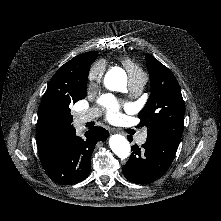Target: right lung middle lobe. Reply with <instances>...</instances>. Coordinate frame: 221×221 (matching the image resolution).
<instances>
[{
	"mask_svg": "<svg viewBox=\"0 0 221 221\" xmlns=\"http://www.w3.org/2000/svg\"><path fill=\"white\" fill-rule=\"evenodd\" d=\"M86 87H87V83L83 84L82 86L78 87L75 89L71 99H68L64 105H63V111H64V119L69 122L72 123L73 120V116L70 114V105L77 102L80 99L85 98L86 96Z\"/></svg>",
	"mask_w": 221,
	"mask_h": 221,
	"instance_id": "right-lung-middle-lobe-1",
	"label": "right lung middle lobe"
}]
</instances>
